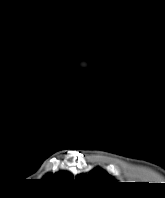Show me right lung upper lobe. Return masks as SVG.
<instances>
[{"label":"right lung upper lobe","instance_id":"1","mask_svg":"<svg viewBox=\"0 0 165 198\" xmlns=\"http://www.w3.org/2000/svg\"><path fill=\"white\" fill-rule=\"evenodd\" d=\"M45 178L50 180H73V176L68 172H59L55 175H47Z\"/></svg>","mask_w":165,"mask_h":198}]
</instances>
